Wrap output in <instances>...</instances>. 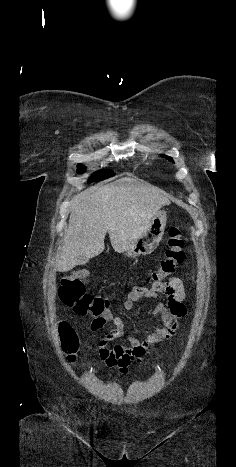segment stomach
I'll return each instance as SVG.
<instances>
[{
	"label": "stomach",
	"mask_w": 236,
	"mask_h": 467,
	"mask_svg": "<svg viewBox=\"0 0 236 467\" xmlns=\"http://www.w3.org/2000/svg\"><path fill=\"white\" fill-rule=\"evenodd\" d=\"M166 221V212L163 210H158L140 237L129 249L123 252L124 255L127 257L135 258L140 255H148L152 253L157 248L163 237Z\"/></svg>",
	"instance_id": "obj_1"
}]
</instances>
